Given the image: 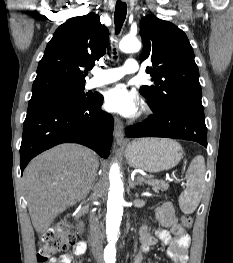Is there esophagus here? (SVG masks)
Wrapping results in <instances>:
<instances>
[{
  "mask_svg": "<svg viewBox=\"0 0 233 263\" xmlns=\"http://www.w3.org/2000/svg\"><path fill=\"white\" fill-rule=\"evenodd\" d=\"M114 137L119 145L125 144L124 125L120 118L114 117Z\"/></svg>",
  "mask_w": 233,
  "mask_h": 263,
  "instance_id": "1",
  "label": "esophagus"
}]
</instances>
